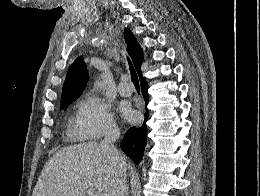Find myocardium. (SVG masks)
<instances>
[{
    "label": "myocardium",
    "mask_w": 260,
    "mask_h": 196,
    "mask_svg": "<svg viewBox=\"0 0 260 196\" xmlns=\"http://www.w3.org/2000/svg\"><path fill=\"white\" fill-rule=\"evenodd\" d=\"M51 192H55V190H51Z\"/></svg>",
    "instance_id": "f54148a6"
}]
</instances>
